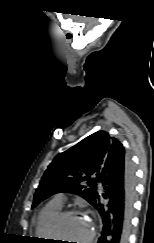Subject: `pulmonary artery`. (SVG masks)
<instances>
[{
    "instance_id": "e3ab8cb5",
    "label": "pulmonary artery",
    "mask_w": 154,
    "mask_h": 243,
    "mask_svg": "<svg viewBox=\"0 0 154 243\" xmlns=\"http://www.w3.org/2000/svg\"><path fill=\"white\" fill-rule=\"evenodd\" d=\"M64 200H65V197L62 193L57 194L53 199V201H55L61 205L63 204Z\"/></svg>"
}]
</instances>
